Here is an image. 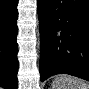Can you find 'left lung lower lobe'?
<instances>
[{
	"mask_svg": "<svg viewBox=\"0 0 89 89\" xmlns=\"http://www.w3.org/2000/svg\"><path fill=\"white\" fill-rule=\"evenodd\" d=\"M40 80L69 74L89 81V0H38Z\"/></svg>",
	"mask_w": 89,
	"mask_h": 89,
	"instance_id": "1",
	"label": "left lung lower lobe"
}]
</instances>
